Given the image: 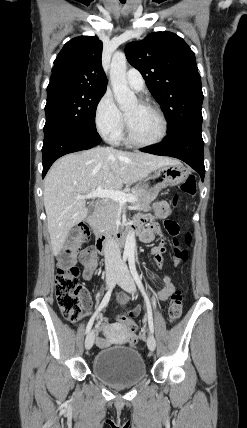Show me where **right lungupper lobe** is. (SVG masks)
<instances>
[{
  "instance_id": "right-lung-upper-lobe-1",
  "label": "right lung upper lobe",
  "mask_w": 247,
  "mask_h": 428,
  "mask_svg": "<svg viewBox=\"0 0 247 428\" xmlns=\"http://www.w3.org/2000/svg\"><path fill=\"white\" fill-rule=\"evenodd\" d=\"M102 41L81 36L67 42L58 54L47 93L71 88L106 90L101 65Z\"/></svg>"
}]
</instances>
